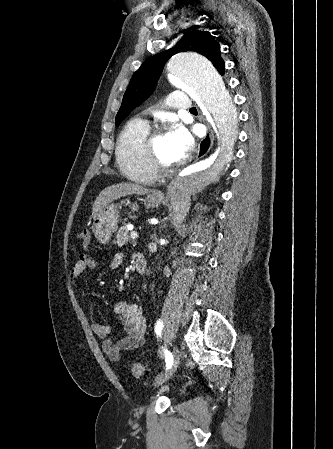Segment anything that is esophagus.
<instances>
[{
	"instance_id": "esophagus-1",
	"label": "esophagus",
	"mask_w": 333,
	"mask_h": 449,
	"mask_svg": "<svg viewBox=\"0 0 333 449\" xmlns=\"http://www.w3.org/2000/svg\"><path fill=\"white\" fill-rule=\"evenodd\" d=\"M203 121L207 125L208 131H207V134L205 135V137L203 138V140L201 141V143L199 145L197 159L202 158L203 156H205L208 153V151L212 147L213 141H214V132H213L212 128L207 123L205 118H203ZM158 195L160 196V194H158Z\"/></svg>"
}]
</instances>
